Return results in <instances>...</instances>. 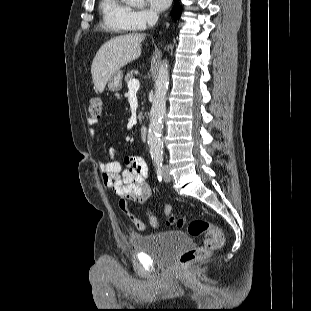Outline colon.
Here are the masks:
<instances>
[{
  "label": "colon",
  "instance_id": "5ec220e1",
  "mask_svg": "<svg viewBox=\"0 0 311 311\" xmlns=\"http://www.w3.org/2000/svg\"><path fill=\"white\" fill-rule=\"evenodd\" d=\"M87 118L91 121H99L103 118V104L99 98H91L87 107ZM167 221L178 228L187 226L190 236H204V245L194 247L184 252L180 258V265L185 267L197 261L203 260L214 251L221 249L225 243V237L220 228L207 220L196 218L187 222L182 216L168 215Z\"/></svg>",
  "mask_w": 311,
  "mask_h": 311
}]
</instances>
